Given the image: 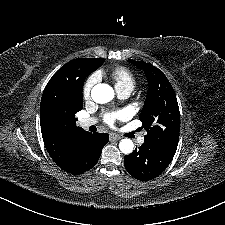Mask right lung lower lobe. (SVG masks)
Instances as JSON below:
<instances>
[{
  "label": "right lung lower lobe",
  "mask_w": 225,
  "mask_h": 225,
  "mask_svg": "<svg viewBox=\"0 0 225 225\" xmlns=\"http://www.w3.org/2000/svg\"><path fill=\"white\" fill-rule=\"evenodd\" d=\"M108 140L107 133H87L80 136L74 143L69 163L60 168L74 175L90 170L97 163Z\"/></svg>",
  "instance_id": "right-lung-lower-lobe-1"
}]
</instances>
